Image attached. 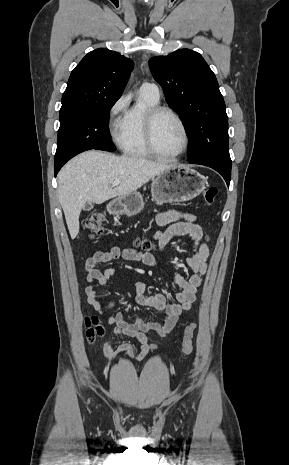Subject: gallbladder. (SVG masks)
Instances as JSON below:
<instances>
[{
  "label": "gallbladder",
  "instance_id": "obj_1",
  "mask_svg": "<svg viewBox=\"0 0 289 465\" xmlns=\"http://www.w3.org/2000/svg\"><path fill=\"white\" fill-rule=\"evenodd\" d=\"M92 208H93V205H92L91 202H87V203L84 205V207H83V209L86 210V211H89V210H91Z\"/></svg>",
  "mask_w": 289,
  "mask_h": 465
}]
</instances>
